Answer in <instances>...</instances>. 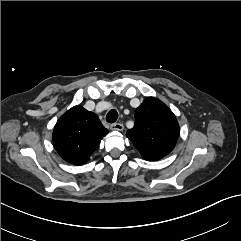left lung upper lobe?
I'll list each match as a JSON object with an SVG mask.
<instances>
[{"instance_id":"5c2ea615","label":"left lung upper lobe","mask_w":241,"mask_h":241,"mask_svg":"<svg viewBox=\"0 0 241 241\" xmlns=\"http://www.w3.org/2000/svg\"><path fill=\"white\" fill-rule=\"evenodd\" d=\"M126 135L145 160L157 161L173 150L179 125L163 102L148 97L137 108L134 127Z\"/></svg>"}]
</instances>
